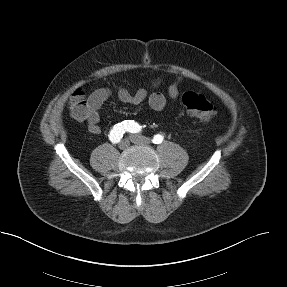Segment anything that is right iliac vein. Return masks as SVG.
I'll use <instances>...</instances> for the list:
<instances>
[{
  "instance_id": "1",
  "label": "right iliac vein",
  "mask_w": 287,
  "mask_h": 287,
  "mask_svg": "<svg viewBox=\"0 0 287 287\" xmlns=\"http://www.w3.org/2000/svg\"><path fill=\"white\" fill-rule=\"evenodd\" d=\"M129 145H130L129 140L128 139H124V140H122L120 142L119 147H120V149L124 150V149L128 148Z\"/></svg>"
}]
</instances>
